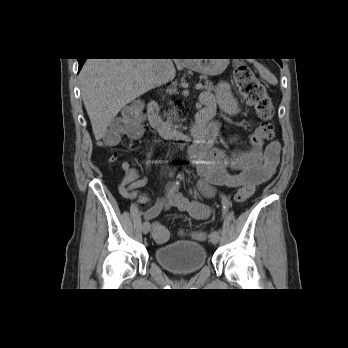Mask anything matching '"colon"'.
Masks as SVG:
<instances>
[{
	"label": "colon",
	"instance_id": "obj_1",
	"mask_svg": "<svg viewBox=\"0 0 348 348\" xmlns=\"http://www.w3.org/2000/svg\"><path fill=\"white\" fill-rule=\"evenodd\" d=\"M234 82L237 85L240 94L245 102L252 106L257 116L260 118V125L253 131L250 137L251 144L254 148L259 149L265 141H269L274 136V126L270 122L273 116V104L269 96L267 87L257 78L252 69L239 62L234 69ZM143 113L142 107L137 104L125 107L121 114L112 122L110 128L105 132L103 139L105 145L113 147L124 138H136L142 132ZM116 153L113 152L109 160L116 159ZM254 193V186L243 185L236 194L235 201L242 203L246 201ZM153 238L157 242H165L169 239L170 233L168 229L159 224L153 225ZM192 237L196 240L204 238V234L195 232Z\"/></svg>",
	"mask_w": 348,
	"mask_h": 348
}]
</instances>
